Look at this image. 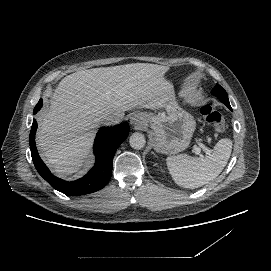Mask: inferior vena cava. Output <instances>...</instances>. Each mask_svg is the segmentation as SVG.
Listing matches in <instances>:
<instances>
[{
  "instance_id": "602c4592",
  "label": "inferior vena cava",
  "mask_w": 271,
  "mask_h": 271,
  "mask_svg": "<svg viewBox=\"0 0 271 271\" xmlns=\"http://www.w3.org/2000/svg\"><path fill=\"white\" fill-rule=\"evenodd\" d=\"M96 120L99 124L109 126L117 124L120 119L115 117L113 114H104L99 116Z\"/></svg>"
}]
</instances>
